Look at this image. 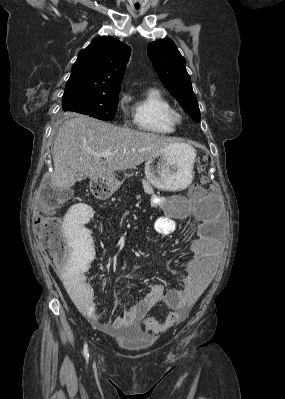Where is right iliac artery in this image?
<instances>
[{
  "instance_id": "82829eb1",
  "label": "right iliac artery",
  "mask_w": 285,
  "mask_h": 399,
  "mask_svg": "<svg viewBox=\"0 0 285 399\" xmlns=\"http://www.w3.org/2000/svg\"><path fill=\"white\" fill-rule=\"evenodd\" d=\"M83 353H84V357H85L86 359H88V357H89V352H88V345H87V343L84 344Z\"/></svg>"
}]
</instances>
